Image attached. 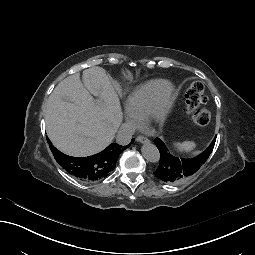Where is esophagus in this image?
Here are the masks:
<instances>
[{
	"mask_svg": "<svg viewBox=\"0 0 255 255\" xmlns=\"http://www.w3.org/2000/svg\"><path fill=\"white\" fill-rule=\"evenodd\" d=\"M136 141L139 143H149L150 142L148 138H146L142 135L137 136Z\"/></svg>",
	"mask_w": 255,
	"mask_h": 255,
	"instance_id": "1",
	"label": "esophagus"
}]
</instances>
